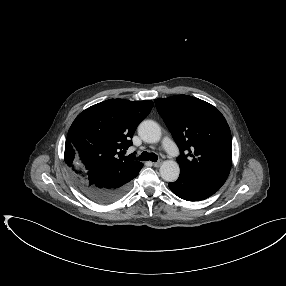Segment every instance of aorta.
Segmentation results:
<instances>
[{"label": "aorta", "mask_w": 286, "mask_h": 286, "mask_svg": "<svg viewBox=\"0 0 286 286\" xmlns=\"http://www.w3.org/2000/svg\"><path fill=\"white\" fill-rule=\"evenodd\" d=\"M138 134L147 143H157L161 139V128L153 120H144L138 126ZM160 176L167 182H174L178 179L180 168L173 160L164 161L160 166Z\"/></svg>", "instance_id": "aorta-1"}]
</instances>
